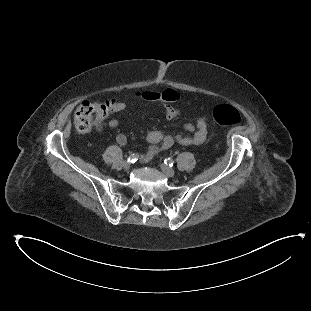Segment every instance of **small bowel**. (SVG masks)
Returning <instances> with one entry per match:
<instances>
[{
    "label": "small bowel",
    "mask_w": 311,
    "mask_h": 311,
    "mask_svg": "<svg viewBox=\"0 0 311 311\" xmlns=\"http://www.w3.org/2000/svg\"><path fill=\"white\" fill-rule=\"evenodd\" d=\"M105 104L107 106V112L110 114L121 112L127 107L126 102L116 98L108 99ZM164 112L168 119H174L180 115V111L169 104L164 106ZM107 124L110 128H116L119 125V121L116 118H111L108 120ZM101 129L102 127L100 126L99 130ZM184 129L190 132L191 135L172 136L159 131L150 132L147 135L149 147L142 155V161H150L155 154L169 149L175 143L183 146H198L204 142L207 134V125L202 118H197L194 123H186ZM116 139L120 145H125L127 142V139L123 134H119Z\"/></svg>",
    "instance_id": "obj_1"
}]
</instances>
